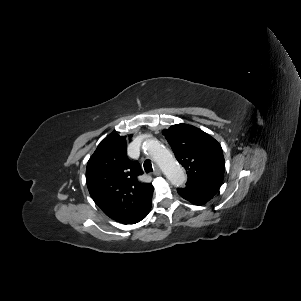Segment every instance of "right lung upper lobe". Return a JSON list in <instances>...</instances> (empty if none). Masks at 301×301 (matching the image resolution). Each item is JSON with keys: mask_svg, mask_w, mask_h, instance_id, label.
<instances>
[{"mask_svg": "<svg viewBox=\"0 0 301 301\" xmlns=\"http://www.w3.org/2000/svg\"><path fill=\"white\" fill-rule=\"evenodd\" d=\"M141 174L139 165L127 158L126 136L112 134L90 157L86 182L99 208L113 220L128 224L143 212L153 195L152 184L138 182Z\"/></svg>", "mask_w": 301, "mask_h": 301, "instance_id": "obj_1", "label": "right lung upper lobe"}]
</instances>
